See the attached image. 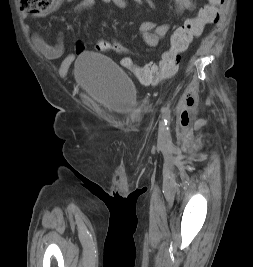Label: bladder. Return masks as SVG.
Segmentation results:
<instances>
[{"instance_id": "31cf9c89", "label": "bladder", "mask_w": 253, "mask_h": 267, "mask_svg": "<svg viewBox=\"0 0 253 267\" xmlns=\"http://www.w3.org/2000/svg\"><path fill=\"white\" fill-rule=\"evenodd\" d=\"M75 79L108 112L130 115L138 106V91L130 77L102 54L84 52L75 62Z\"/></svg>"}]
</instances>
